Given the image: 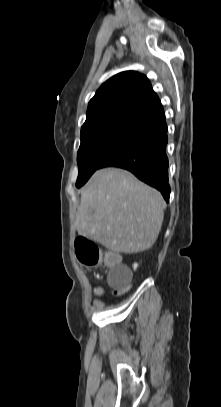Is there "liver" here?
Segmentation results:
<instances>
[{"label":"liver","mask_w":221,"mask_h":407,"mask_svg":"<svg viewBox=\"0 0 221 407\" xmlns=\"http://www.w3.org/2000/svg\"><path fill=\"white\" fill-rule=\"evenodd\" d=\"M165 202L129 171H96L81 195L78 232L116 253H138L156 242Z\"/></svg>","instance_id":"1"}]
</instances>
